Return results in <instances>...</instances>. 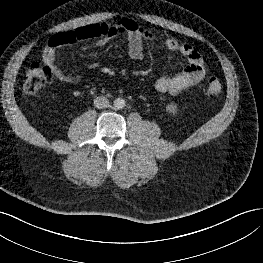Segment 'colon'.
Listing matches in <instances>:
<instances>
[{"label":"colon","instance_id":"1","mask_svg":"<svg viewBox=\"0 0 263 263\" xmlns=\"http://www.w3.org/2000/svg\"><path fill=\"white\" fill-rule=\"evenodd\" d=\"M54 74L50 67L41 65L38 62L32 63L27 72L24 89L29 94H35L52 82ZM223 90L222 83L217 77H210L207 82V94L217 96Z\"/></svg>","mask_w":263,"mask_h":263}]
</instances>
